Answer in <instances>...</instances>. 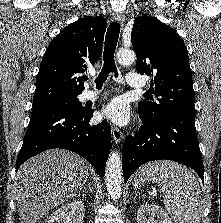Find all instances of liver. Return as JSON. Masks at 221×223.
<instances>
[{
	"instance_id": "obj_1",
	"label": "liver",
	"mask_w": 221,
	"mask_h": 223,
	"mask_svg": "<svg viewBox=\"0 0 221 223\" xmlns=\"http://www.w3.org/2000/svg\"><path fill=\"white\" fill-rule=\"evenodd\" d=\"M88 178V164L73 152L51 149L30 158L14 180L20 222H39L47 212L73 199Z\"/></svg>"
}]
</instances>
